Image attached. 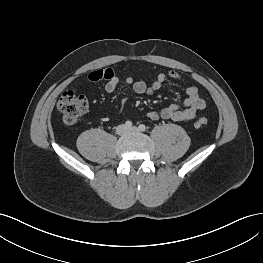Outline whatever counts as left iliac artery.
<instances>
[{
  "label": "left iliac artery",
  "mask_w": 263,
  "mask_h": 263,
  "mask_svg": "<svg viewBox=\"0 0 263 263\" xmlns=\"http://www.w3.org/2000/svg\"><path fill=\"white\" fill-rule=\"evenodd\" d=\"M138 128H139L140 131H145L146 130V126L144 124H140L138 126Z\"/></svg>",
  "instance_id": "obj_1"
}]
</instances>
